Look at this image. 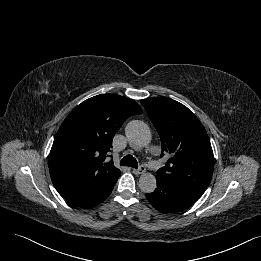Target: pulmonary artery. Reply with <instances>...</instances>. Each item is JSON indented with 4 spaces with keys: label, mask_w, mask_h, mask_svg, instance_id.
<instances>
[{
    "label": "pulmonary artery",
    "mask_w": 261,
    "mask_h": 261,
    "mask_svg": "<svg viewBox=\"0 0 261 261\" xmlns=\"http://www.w3.org/2000/svg\"><path fill=\"white\" fill-rule=\"evenodd\" d=\"M151 167H152L153 170L158 169V165L156 163L151 164Z\"/></svg>",
    "instance_id": "pulmonary-artery-1"
}]
</instances>
